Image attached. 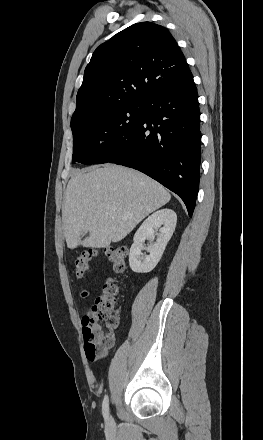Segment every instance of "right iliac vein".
<instances>
[{"instance_id": "obj_1", "label": "right iliac vein", "mask_w": 263, "mask_h": 440, "mask_svg": "<svg viewBox=\"0 0 263 440\" xmlns=\"http://www.w3.org/2000/svg\"><path fill=\"white\" fill-rule=\"evenodd\" d=\"M113 424V419L111 416H108V419L106 420V425L111 426Z\"/></svg>"}]
</instances>
